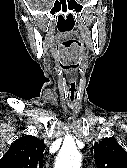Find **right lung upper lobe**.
I'll list each match as a JSON object with an SVG mask.
<instances>
[{"mask_svg": "<svg viewBox=\"0 0 127 168\" xmlns=\"http://www.w3.org/2000/svg\"><path fill=\"white\" fill-rule=\"evenodd\" d=\"M45 144L35 136L16 140L0 160V168H43Z\"/></svg>", "mask_w": 127, "mask_h": 168, "instance_id": "obj_1", "label": "right lung upper lobe"}]
</instances>
